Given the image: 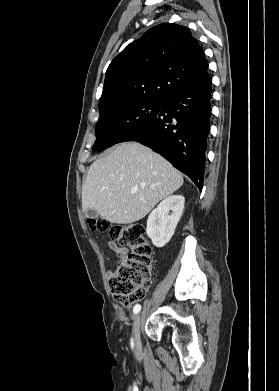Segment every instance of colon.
Masks as SVG:
<instances>
[{
	"label": "colon",
	"instance_id": "5ec220e1",
	"mask_svg": "<svg viewBox=\"0 0 279 391\" xmlns=\"http://www.w3.org/2000/svg\"><path fill=\"white\" fill-rule=\"evenodd\" d=\"M88 223L93 230H108L113 240L130 250L118 259L109 276V288L115 301L129 307L142 300L154 264L153 248L147 240L144 226L139 223L110 225L104 220L92 219Z\"/></svg>",
	"mask_w": 279,
	"mask_h": 391
}]
</instances>
